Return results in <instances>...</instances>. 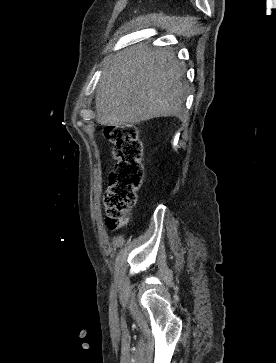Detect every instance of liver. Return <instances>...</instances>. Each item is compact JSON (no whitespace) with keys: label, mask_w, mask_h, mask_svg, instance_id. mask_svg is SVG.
<instances>
[{"label":"liver","mask_w":276,"mask_h":363,"mask_svg":"<svg viewBox=\"0 0 276 363\" xmlns=\"http://www.w3.org/2000/svg\"><path fill=\"white\" fill-rule=\"evenodd\" d=\"M184 73V64L166 48L138 45L117 54L97 86V122L121 126L158 117L182 118L188 88Z\"/></svg>","instance_id":"6515ba94"}]
</instances>
